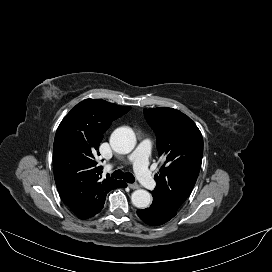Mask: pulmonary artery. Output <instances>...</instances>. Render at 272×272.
Masks as SVG:
<instances>
[{"instance_id":"obj_1","label":"pulmonary artery","mask_w":272,"mask_h":272,"mask_svg":"<svg viewBox=\"0 0 272 272\" xmlns=\"http://www.w3.org/2000/svg\"><path fill=\"white\" fill-rule=\"evenodd\" d=\"M151 151V143L149 140L141 141L135 151L127 158L125 163L133 164L135 173L141 182V184L149 189L153 190L157 183L150 174L148 168V157Z\"/></svg>"}]
</instances>
